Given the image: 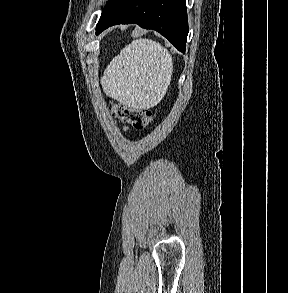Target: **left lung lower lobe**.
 Here are the masks:
<instances>
[{
	"instance_id": "obj_1",
	"label": "left lung lower lobe",
	"mask_w": 288,
	"mask_h": 293,
	"mask_svg": "<svg viewBox=\"0 0 288 293\" xmlns=\"http://www.w3.org/2000/svg\"><path fill=\"white\" fill-rule=\"evenodd\" d=\"M129 23L156 30L185 53L188 35L185 0H121L98 22L96 34L110 26Z\"/></svg>"
}]
</instances>
